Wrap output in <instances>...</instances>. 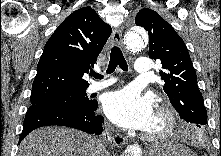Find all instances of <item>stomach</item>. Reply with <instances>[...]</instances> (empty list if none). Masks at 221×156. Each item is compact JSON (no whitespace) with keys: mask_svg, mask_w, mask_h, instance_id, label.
<instances>
[{"mask_svg":"<svg viewBox=\"0 0 221 156\" xmlns=\"http://www.w3.org/2000/svg\"><path fill=\"white\" fill-rule=\"evenodd\" d=\"M149 156H196L176 141H166L150 150Z\"/></svg>","mask_w":221,"mask_h":156,"instance_id":"1","label":"stomach"}]
</instances>
